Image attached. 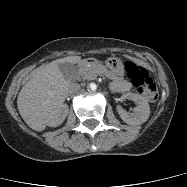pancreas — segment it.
Listing matches in <instances>:
<instances>
[{"label": "pancreas", "instance_id": "obj_1", "mask_svg": "<svg viewBox=\"0 0 187 187\" xmlns=\"http://www.w3.org/2000/svg\"><path fill=\"white\" fill-rule=\"evenodd\" d=\"M98 75H105L106 77L113 79L110 71L101 64H90L81 67L77 72V78L82 80H95Z\"/></svg>", "mask_w": 187, "mask_h": 187}]
</instances>
